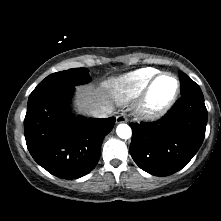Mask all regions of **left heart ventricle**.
Instances as JSON below:
<instances>
[{
	"label": "left heart ventricle",
	"instance_id": "b2bd125f",
	"mask_svg": "<svg viewBox=\"0 0 221 221\" xmlns=\"http://www.w3.org/2000/svg\"><path fill=\"white\" fill-rule=\"evenodd\" d=\"M175 90V81L169 77V76H164L160 78L152 92V102L155 105H159L166 101L174 92Z\"/></svg>",
	"mask_w": 221,
	"mask_h": 221
}]
</instances>
